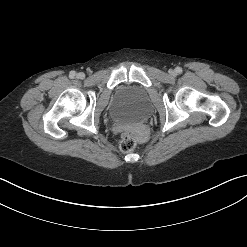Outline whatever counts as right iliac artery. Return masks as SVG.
<instances>
[{"label":"right iliac artery","mask_w":247,"mask_h":247,"mask_svg":"<svg viewBox=\"0 0 247 247\" xmlns=\"http://www.w3.org/2000/svg\"><path fill=\"white\" fill-rule=\"evenodd\" d=\"M76 75V72L75 71H71L70 74H69V77L70 78H74Z\"/></svg>","instance_id":"82829eb1"}]
</instances>
